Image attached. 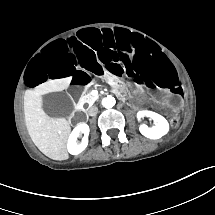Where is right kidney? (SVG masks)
<instances>
[{
	"label": "right kidney",
	"instance_id": "ca27d5eb",
	"mask_svg": "<svg viewBox=\"0 0 215 215\" xmlns=\"http://www.w3.org/2000/svg\"><path fill=\"white\" fill-rule=\"evenodd\" d=\"M76 128H79V131H78L77 135L75 136L74 131ZM75 129L70 134L68 143H67L68 152L72 155H78L83 150H85V148L88 145V136H89V132H90L89 126L86 123H79L75 127ZM80 133H83L84 137L82 138L81 143L78 144L77 138L80 135Z\"/></svg>",
	"mask_w": 215,
	"mask_h": 215
}]
</instances>
